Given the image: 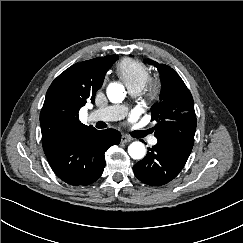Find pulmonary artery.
Returning a JSON list of instances; mask_svg holds the SVG:
<instances>
[{
  "label": "pulmonary artery",
  "mask_w": 243,
  "mask_h": 243,
  "mask_svg": "<svg viewBox=\"0 0 243 243\" xmlns=\"http://www.w3.org/2000/svg\"><path fill=\"white\" fill-rule=\"evenodd\" d=\"M140 91L138 89H131L132 95H137ZM128 114V108L124 105L107 106L101 109H97L89 114L88 119L90 121H115L124 118ZM150 144L155 145L157 139L151 137L149 139Z\"/></svg>",
  "instance_id": "e3ab8cb5"
}]
</instances>
